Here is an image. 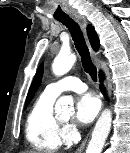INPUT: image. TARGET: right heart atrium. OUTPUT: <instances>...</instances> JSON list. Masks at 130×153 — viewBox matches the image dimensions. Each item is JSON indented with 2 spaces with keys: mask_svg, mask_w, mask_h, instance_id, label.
Returning a JSON list of instances; mask_svg holds the SVG:
<instances>
[{
  "mask_svg": "<svg viewBox=\"0 0 130 153\" xmlns=\"http://www.w3.org/2000/svg\"><path fill=\"white\" fill-rule=\"evenodd\" d=\"M75 130L76 128L73 124H70V123L64 124L62 129L63 139L67 141L72 139L75 134Z\"/></svg>",
  "mask_w": 130,
  "mask_h": 153,
  "instance_id": "right-heart-atrium-1",
  "label": "right heart atrium"
}]
</instances>
